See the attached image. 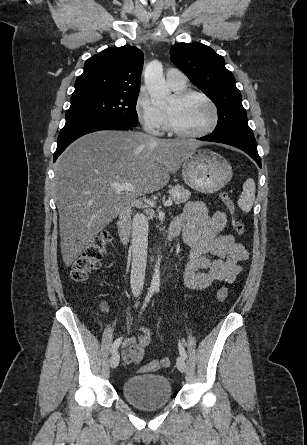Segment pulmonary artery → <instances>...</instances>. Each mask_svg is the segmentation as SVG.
Wrapping results in <instances>:
<instances>
[{"label": "pulmonary artery", "instance_id": "obj_1", "mask_svg": "<svg viewBox=\"0 0 307 445\" xmlns=\"http://www.w3.org/2000/svg\"><path fill=\"white\" fill-rule=\"evenodd\" d=\"M182 69H169L166 72V79L170 87L174 90H181L186 86V80L182 78Z\"/></svg>", "mask_w": 307, "mask_h": 445}]
</instances>
